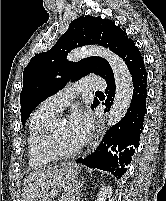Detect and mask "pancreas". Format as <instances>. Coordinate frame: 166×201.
Wrapping results in <instances>:
<instances>
[{"label": "pancreas", "mask_w": 166, "mask_h": 201, "mask_svg": "<svg viewBox=\"0 0 166 201\" xmlns=\"http://www.w3.org/2000/svg\"><path fill=\"white\" fill-rule=\"evenodd\" d=\"M75 195L73 190L68 191L60 201H75L74 199Z\"/></svg>", "instance_id": "pancreas-1"}]
</instances>
